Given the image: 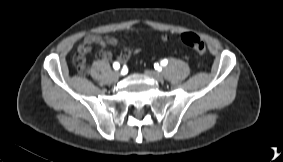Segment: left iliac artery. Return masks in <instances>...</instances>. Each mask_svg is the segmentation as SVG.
<instances>
[{
	"label": "left iliac artery",
	"instance_id": "left-iliac-artery-1",
	"mask_svg": "<svg viewBox=\"0 0 283 162\" xmlns=\"http://www.w3.org/2000/svg\"><path fill=\"white\" fill-rule=\"evenodd\" d=\"M167 63H168V61H167L166 59H164V60L161 61V65H162V66H166Z\"/></svg>",
	"mask_w": 283,
	"mask_h": 162
}]
</instances>
